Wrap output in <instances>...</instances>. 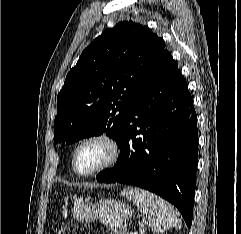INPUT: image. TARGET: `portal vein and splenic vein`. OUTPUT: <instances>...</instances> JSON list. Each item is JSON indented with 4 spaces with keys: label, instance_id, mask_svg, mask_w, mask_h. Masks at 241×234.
<instances>
[{
    "label": "portal vein and splenic vein",
    "instance_id": "obj_1",
    "mask_svg": "<svg viewBox=\"0 0 241 234\" xmlns=\"http://www.w3.org/2000/svg\"><path fill=\"white\" fill-rule=\"evenodd\" d=\"M131 234H138L137 232H132Z\"/></svg>",
    "mask_w": 241,
    "mask_h": 234
}]
</instances>
